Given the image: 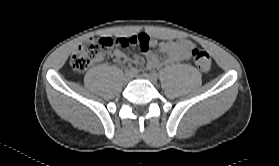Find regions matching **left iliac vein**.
<instances>
[{
    "mask_svg": "<svg viewBox=\"0 0 279 166\" xmlns=\"http://www.w3.org/2000/svg\"><path fill=\"white\" fill-rule=\"evenodd\" d=\"M137 77L142 78V79H147L154 85L157 83V77L152 74H142V75H138Z\"/></svg>",
    "mask_w": 279,
    "mask_h": 166,
    "instance_id": "obj_1",
    "label": "left iliac vein"
}]
</instances>
